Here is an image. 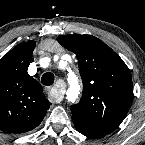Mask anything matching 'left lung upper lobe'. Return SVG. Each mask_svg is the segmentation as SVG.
Wrapping results in <instances>:
<instances>
[{"instance_id":"obj_1","label":"left lung upper lobe","mask_w":145,"mask_h":145,"mask_svg":"<svg viewBox=\"0 0 145 145\" xmlns=\"http://www.w3.org/2000/svg\"><path fill=\"white\" fill-rule=\"evenodd\" d=\"M58 42L76 54L83 81L80 102L71 106L74 125L108 134L127 115L133 99L131 74L123 60L91 35H62Z\"/></svg>"}]
</instances>
